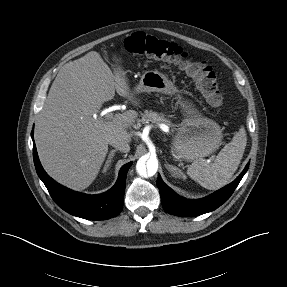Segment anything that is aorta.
<instances>
[{
	"label": "aorta",
	"mask_w": 287,
	"mask_h": 287,
	"mask_svg": "<svg viewBox=\"0 0 287 287\" xmlns=\"http://www.w3.org/2000/svg\"><path fill=\"white\" fill-rule=\"evenodd\" d=\"M158 169V160L156 157L140 158L136 165L137 173L140 176H153Z\"/></svg>",
	"instance_id": "762f6f07"
}]
</instances>
